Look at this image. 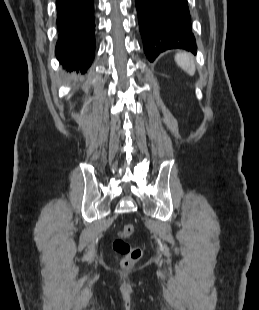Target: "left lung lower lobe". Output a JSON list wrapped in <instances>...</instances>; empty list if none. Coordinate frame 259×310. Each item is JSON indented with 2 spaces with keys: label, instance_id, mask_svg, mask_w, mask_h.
Returning <instances> with one entry per match:
<instances>
[{
  "label": "left lung lower lobe",
  "instance_id": "left-lung-lower-lobe-1",
  "mask_svg": "<svg viewBox=\"0 0 259 310\" xmlns=\"http://www.w3.org/2000/svg\"><path fill=\"white\" fill-rule=\"evenodd\" d=\"M135 4L149 61L168 49L196 52L187 0H135Z\"/></svg>",
  "mask_w": 259,
  "mask_h": 310
}]
</instances>
